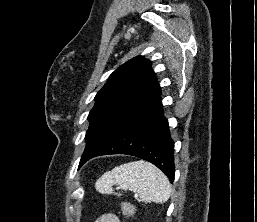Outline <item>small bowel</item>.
Wrapping results in <instances>:
<instances>
[{
  "instance_id": "obj_1",
  "label": "small bowel",
  "mask_w": 257,
  "mask_h": 222,
  "mask_svg": "<svg viewBox=\"0 0 257 222\" xmlns=\"http://www.w3.org/2000/svg\"><path fill=\"white\" fill-rule=\"evenodd\" d=\"M96 222H121L119 217L115 214L108 213L101 216Z\"/></svg>"
}]
</instances>
